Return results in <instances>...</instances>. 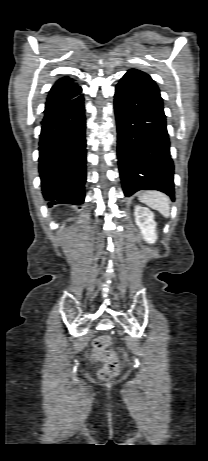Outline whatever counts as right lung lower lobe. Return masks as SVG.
I'll list each match as a JSON object with an SVG mask.
<instances>
[{
	"mask_svg": "<svg viewBox=\"0 0 208 461\" xmlns=\"http://www.w3.org/2000/svg\"><path fill=\"white\" fill-rule=\"evenodd\" d=\"M39 141L44 198L54 204H82L86 181V119L82 94L45 107Z\"/></svg>",
	"mask_w": 208,
	"mask_h": 461,
	"instance_id": "right-lung-lower-lobe-1",
	"label": "right lung lower lobe"
}]
</instances>
